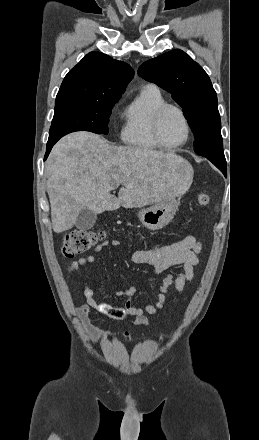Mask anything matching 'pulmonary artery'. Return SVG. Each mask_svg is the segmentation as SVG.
Wrapping results in <instances>:
<instances>
[{
    "label": "pulmonary artery",
    "instance_id": "e3ab8cb5",
    "mask_svg": "<svg viewBox=\"0 0 259 440\" xmlns=\"http://www.w3.org/2000/svg\"><path fill=\"white\" fill-rule=\"evenodd\" d=\"M146 88H149V89H157L156 86H154V85H148V86H146Z\"/></svg>",
    "mask_w": 259,
    "mask_h": 440
}]
</instances>
